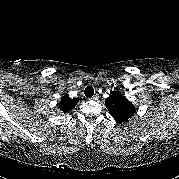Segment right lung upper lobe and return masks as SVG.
Wrapping results in <instances>:
<instances>
[{
	"mask_svg": "<svg viewBox=\"0 0 179 179\" xmlns=\"http://www.w3.org/2000/svg\"><path fill=\"white\" fill-rule=\"evenodd\" d=\"M77 103H78L77 98L71 99L69 98V96H62L61 101L59 103V108L64 113H67L70 110L74 109Z\"/></svg>",
	"mask_w": 179,
	"mask_h": 179,
	"instance_id": "right-lung-upper-lobe-1",
	"label": "right lung upper lobe"
}]
</instances>
